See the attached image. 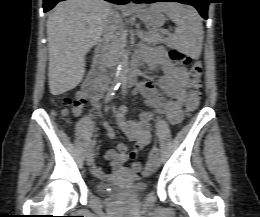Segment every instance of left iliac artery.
I'll list each match as a JSON object with an SVG mask.
<instances>
[{
	"label": "left iliac artery",
	"instance_id": "1",
	"mask_svg": "<svg viewBox=\"0 0 260 217\" xmlns=\"http://www.w3.org/2000/svg\"><path fill=\"white\" fill-rule=\"evenodd\" d=\"M127 85L125 83L122 84V89L124 93H127ZM153 152L159 155V148L157 146L153 147Z\"/></svg>",
	"mask_w": 260,
	"mask_h": 217
}]
</instances>
